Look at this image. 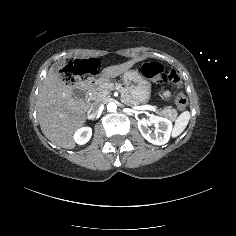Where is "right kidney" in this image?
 Returning a JSON list of instances; mask_svg holds the SVG:
<instances>
[{
    "label": "right kidney",
    "instance_id": "1",
    "mask_svg": "<svg viewBox=\"0 0 236 236\" xmlns=\"http://www.w3.org/2000/svg\"><path fill=\"white\" fill-rule=\"evenodd\" d=\"M92 131L90 128H83L76 132L75 139L79 144H85L91 138Z\"/></svg>",
    "mask_w": 236,
    "mask_h": 236
}]
</instances>
